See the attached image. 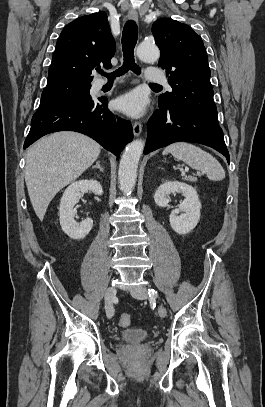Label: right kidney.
Here are the masks:
<instances>
[{
    "label": "right kidney",
    "mask_w": 265,
    "mask_h": 407,
    "mask_svg": "<svg viewBox=\"0 0 265 407\" xmlns=\"http://www.w3.org/2000/svg\"><path fill=\"white\" fill-rule=\"evenodd\" d=\"M88 190L96 195L103 194L102 186L97 180H79L67 187L60 201V225L64 233L72 239L84 238L93 228V220L91 218H87L81 223H77L74 220L76 216L74 206L79 202L80 197Z\"/></svg>",
    "instance_id": "1"
}]
</instances>
